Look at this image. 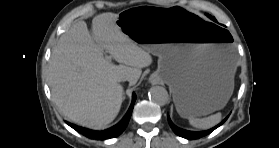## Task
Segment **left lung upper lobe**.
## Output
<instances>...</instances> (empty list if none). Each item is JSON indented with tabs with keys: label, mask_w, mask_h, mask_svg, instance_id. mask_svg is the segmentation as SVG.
<instances>
[{
	"label": "left lung upper lobe",
	"mask_w": 279,
	"mask_h": 148,
	"mask_svg": "<svg viewBox=\"0 0 279 148\" xmlns=\"http://www.w3.org/2000/svg\"><path fill=\"white\" fill-rule=\"evenodd\" d=\"M208 16H209V18H211L212 20H214V21H215L214 17H211L210 15H208Z\"/></svg>",
	"instance_id": "left-lung-upper-lobe-1"
}]
</instances>
